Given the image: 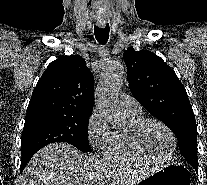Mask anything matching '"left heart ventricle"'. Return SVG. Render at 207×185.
Listing matches in <instances>:
<instances>
[{
  "label": "left heart ventricle",
  "mask_w": 207,
  "mask_h": 185,
  "mask_svg": "<svg viewBox=\"0 0 207 185\" xmlns=\"http://www.w3.org/2000/svg\"><path fill=\"white\" fill-rule=\"evenodd\" d=\"M143 141L147 151L156 159L170 156L173 144L168 132L158 124H149L143 132Z\"/></svg>",
  "instance_id": "1"
}]
</instances>
